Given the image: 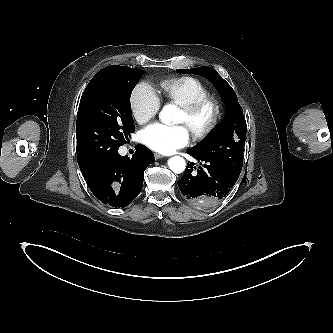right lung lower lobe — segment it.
<instances>
[{
	"label": "right lung lower lobe",
	"instance_id": "1",
	"mask_svg": "<svg viewBox=\"0 0 333 333\" xmlns=\"http://www.w3.org/2000/svg\"><path fill=\"white\" fill-rule=\"evenodd\" d=\"M154 160L153 153L146 146L137 145L131 159L117 152L81 172L97 199L112 207H126L140 193L144 171Z\"/></svg>",
	"mask_w": 333,
	"mask_h": 333
}]
</instances>
